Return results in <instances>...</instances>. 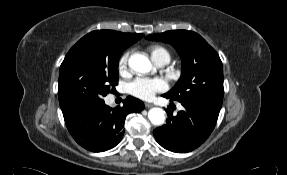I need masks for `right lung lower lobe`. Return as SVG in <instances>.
<instances>
[{"instance_id":"98d812e1","label":"right lung lower lobe","mask_w":287,"mask_h":175,"mask_svg":"<svg viewBox=\"0 0 287 175\" xmlns=\"http://www.w3.org/2000/svg\"><path fill=\"white\" fill-rule=\"evenodd\" d=\"M123 103L122 107L110 108L100 99L69 105L62 108V113L68 131L79 145L92 152H103L121 141L126 115L144 109L143 102L131 96Z\"/></svg>"}]
</instances>
